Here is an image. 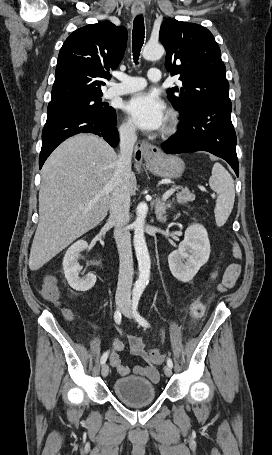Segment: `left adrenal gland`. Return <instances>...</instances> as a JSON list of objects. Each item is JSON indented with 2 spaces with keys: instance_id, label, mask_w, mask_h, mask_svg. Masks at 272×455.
I'll list each match as a JSON object with an SVG mask.
<instances>
[{
  "instance_id": "left-adrenal-gland-1",
  "label": "left adrenal gland",
  "mask_w": 272,
  "mask_h": 455,
  "mask_svg": "<svg viewBox=\"0 0 272 455\" xmlns=\"http://www.w3.org/2000/svg\"><path fill=\"white\" fill-rule=\"evenodd\" d=\"M171 208L170 202H163L159 198L156 200L155 204V214L156 218L159 222H166V210Z\"/></svg>"
}]
</instances>
